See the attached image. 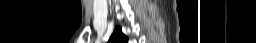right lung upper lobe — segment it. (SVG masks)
I'll use <instances>...</instances> for the list:
<instances>
[{"mask_svg":"<svg viewBox=\"0 0 256 43\" xmlns=\"http://www.w3.org/2000/svg\"><path fill=\"white\" fill-rule=\"evenodd\" d=\"M128 38L121 32V28L117 27L113 32L109 43H127Z\"/></svg>","mask_w":256,"mask_h":43,"instance_id":"right-lung-upper-lobe-1","label":"right lung upper lobe"}]
</instances>
